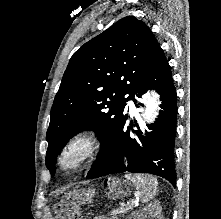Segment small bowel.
<instances>
[{
    "label": "small bowel",
    "instance_id": "small-bowel-1",
    "mask_svg": "<svg viewBox=\"0 0 221 219\" xmlns=\"http://www.w3.org/2000/svg\"><path fill=\"white\" fill-rule=\"evenodd\" d=\"M97 219H104V218H101V217H100V218H97Z\"/></svg>",
    "mask_w": 221,
    "mask_h": 219
}]
</instances>
